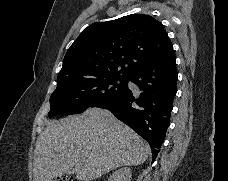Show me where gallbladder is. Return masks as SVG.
Here are the masks:
<instances>
[{"label": "gallbladder", "mask_w": 228, "mask_h": 181, "mask_svg": "<svg viewBox=\"0 0 228 181\" xmlns=\"http://www.w3.org/2000/svg\"><path fill=\"white\" fill-rule=\"evenodd\" d=\"M66 173H68V175H72L73 169H69V171H66Z\"/></svg>", "instance_id": "bac80fb5"}]
</instances>
